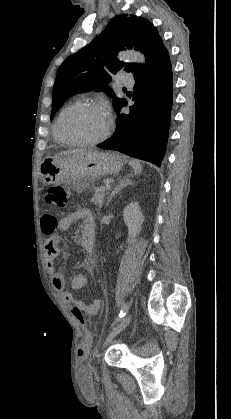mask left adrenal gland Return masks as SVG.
Wrapping results in <instances>:
<instances>
[{"mask_svg": "<svg viewBox=\"0 0 231 419\" xmlns=\"http://www.w3.org/2000/svg\"><path fill=\"white\" fill-rule=\"evenodd\" d=\"M134 183L132 181H130L128 178L122 179L119 181L118 185L114 188L113 192L111 193V195L108 197L106 206L109 205V203L111 202V200L113 199V197L118 194L123 188H125L126 186H130L133 185Z\"/></svg>", "mask_w": 231, "mask_h": 419, "instance_id": "1", "label": "left adrenal gland"}]
</instances>
